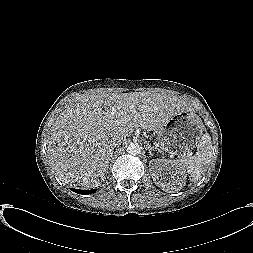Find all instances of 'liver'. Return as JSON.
<instances>
[{
	"mask_svg": "<svg viewBox=\"0 0 253 253\" xmlns=\"http://www.w3.org/2000/svg\"><path fill=\"white\" fill-rule=\"evenodd\" d=\"M192 108L180 97L157 92L83 94L64 109L51 127L48 159L64 182L93 188L105 180L113 151L134 128L159 130L175 114Z\"/></svg>",
	"mask_w": 253,
	"mask_h": 253,
	"instance_id": "1",
	"label": "liver"
}]
</instances>
